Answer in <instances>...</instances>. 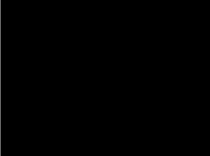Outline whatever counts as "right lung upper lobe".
<instances>
[{"instance_id":"right-lung-upper-lobe-1","label":"right lung upper lobe","mask_w":210,"mask_h":156,"mask_svg":"<svg viewBox=\"0 0 210 156\" xmlns=\"http://www.w3.org/2000/svg\"><path fill=\"white\" fill-rule=\"evenodd\" d=\"M78 83L66 72L56 73L41 92L39 120L48 138L66 143L79 139L88 120L78 108Z\"/></svg>"}]
</instances>
